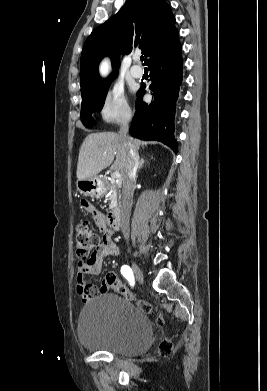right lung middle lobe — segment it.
Instances as JSON below:
<instances>
[{
    "mask_svg": "<svg viewBox=\"0 0 267 391\" xmlns=\"http://www.w3.org/2000/svg\"><path fill=\"white\" fill-rule=\"evenodd\" d=\"M116 75L117 74L111 75L107 80H103L96 87L82 93L81 119L85 126L92 127L94 125L92 113L101 111L111 80L115 78Z\"/></svg>",
    "mask_w": 267,
    "mask_h": 391,
    "instance_id": "obj_1",
    "label": "right lung middle lobe"
}]
</instances>
